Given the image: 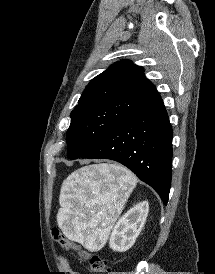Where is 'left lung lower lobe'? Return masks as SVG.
Masks as SVG:
<instances>
[{
    "label": "left lung lower lobe",
    "instance_id": "obj_1",
    "mask_svg": "<svg viewBox=\"0 0 215 274\" xmlns=\"http://www.w3.org/2000/svg\"><path fill=\"white\" fill-rule=\"evenodd\" d=\"M173 132L161 97L118 124L81 158L117 161L150 185L167 205Z\"/></svg>",
    "mask_w": 215,
    "mask_h": 274
}]
</instances>
